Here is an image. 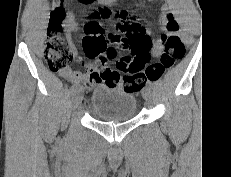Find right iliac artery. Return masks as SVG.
<instances>
[{"instance_id": "obj_1", "label": "right iliac artery", "mask_w": 231, "mask_h": 177, "mask_svg": "<svg viewBox=\"0 0 231 177\" xmlns=\"http://www.w3.org/2000/svg\"><path fill=\"white\" fill-rule=\"evenodd\" d=\"M76 88H77V85H72L71 87H70V89H69V93L71 94V93H73L75 90H76Z\"/></svg>"}]
</instances>
